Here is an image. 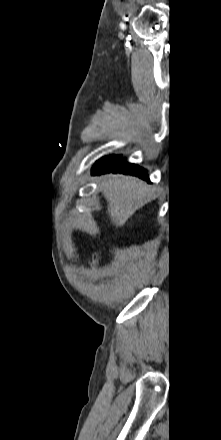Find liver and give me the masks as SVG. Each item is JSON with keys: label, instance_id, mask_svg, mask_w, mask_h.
Wrapping results in <instances>:
<instances>
[{"label": "liver", "instance_id": "6515ba94", "mask_svg": "<svg viewBox=\"0 0 221 440\" xmlns=\"http://www.w3.org/2000/svg\"><path fill=\"white\" fill-rule=\"evenodd\" d=\"M100 188L108 203L109 217L116 227H121L153 194V189L140 179L120 174L103 176Z\"/></svg>", "mask_w": 221, "mask_h": 440}]
</instances>
